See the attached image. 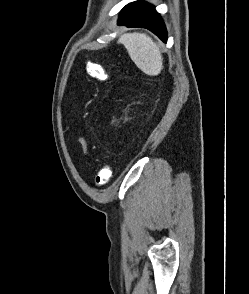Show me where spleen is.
I'll list each match as a JSON object with an SVG mask.
<instances>
[{
  "label": "spleen",
  "mask_w": 249,
  "mask_h": 294,
  "mask_svg": "<svg viewBox=\"0 0 249 294\" xmlns=\"http://www.w3.org/2000/svg\"><path fill=\"white\" fill-rule=\"evenodd\" d=\"M118 43L125 46L136 66L147 75H158L163 68V58L158 45L144 33H125Z\"/></svg>",
  "instance_id": "1"
}]
</instances>
